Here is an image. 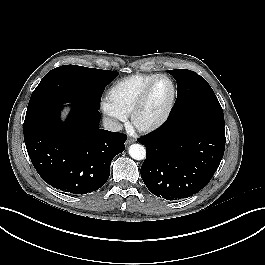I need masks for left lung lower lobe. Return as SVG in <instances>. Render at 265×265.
<instances>
[{
	"instance_id": "obj_1",
	"label": "left lung lower lobe",
	"mask_w": 265,
	"mask_h": 265,
	"mask_svg": "<svg viewBox=\"0 0 265 265\" xmlns=\"http://www.w3.org/2000/svg\"><path fill=\"white\" fill-rule=\"evenodd\" d=\"M139 142L147 147L140 170L146 187L160 198L177 200L208 184L224 154L225 128L199 118L168 120Z\"/></svg>"
}]
</instances>
